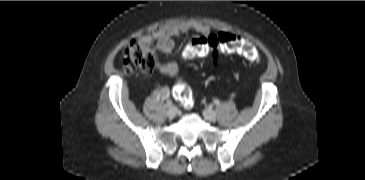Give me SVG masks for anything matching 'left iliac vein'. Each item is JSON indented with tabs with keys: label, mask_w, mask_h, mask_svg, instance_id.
<instances>
[{
	"label": "left iliac vein",
	"mask_w": 365,
	"mask_h": 180,
	"mask_svg": "<svg viewBox=\"0 0 365 180\" xmlns=\"http://www.w3.org/2000/svg\"><path fill=\"white\" fill-rule=\"evenodd\" d=\"M203 116L208 121H214L216 119V113L211 108H206L203 111Z\"/></svg>",
	"instance_id": "1"
}]
</instances>
